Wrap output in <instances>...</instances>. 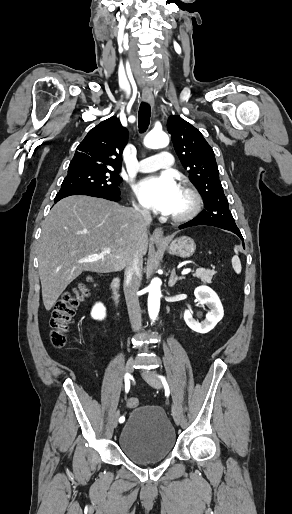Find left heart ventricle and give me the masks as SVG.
Segmentation results:
<instances>
[{
    "label": "left heart ventricle",
    "instance_id": "b2bd125f",
    "mask_svg": "<svg viewBox=\"0 0 292 514\" xmlns=\"http://www.w3.org/2000/svg\"><path fill=\"white\" fill-rule=\"evenodd\" d=\"M187 207H188V199L182 192H180V195H179V198H178V201H177V204L175 206L173 213H181V212L185 211L187 209Z\"/></svg>",
    "mask_w": 292,
    "mask_h": 514
}]
</instances>
